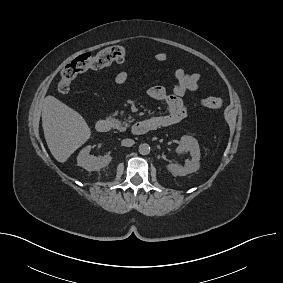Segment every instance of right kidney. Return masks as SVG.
<instances>
[{"mask_svg":"<svg viewBox=\"0 0 283 283\" xmlns=\"http://www.w3.org/2000/svg\"><path fill=\"white\" fill-rule=\"evenodd\" d=\"M91 147L87 146L83 148L78 157L77 165L86 169L87 171H99L100 169L106 167L112 160L110 155H105L102 157H96L90 155Z\"/></svg>","mask_w":283,"mask_h":283,"instance_id":"ca27d5eb","label":"right kidney"}]
</instances>
